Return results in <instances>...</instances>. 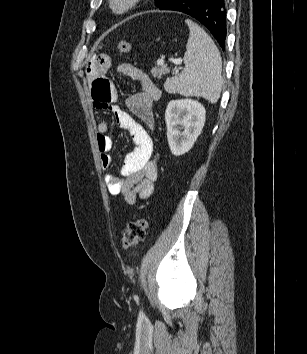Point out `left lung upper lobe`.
Masks as SVG:
<instances>
[{
	"mask_svg": "<svg viewBox=\"0 0 307 354\" xmlns=\"http://www.w3.org/2000/svg\"><path fill=\"white\" fill-rule=\"evenodd\" d=\"M170 0H155L156 6L161 8L163 7L166 3H168Z\"/></svg>",
	"mask_w": 307,
	"mask_h": 354,
	"instance_id": "left-lung-upper-lobe-1",
	"label": "left lung upper lobe"
}]
</instances>
